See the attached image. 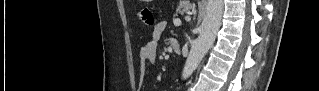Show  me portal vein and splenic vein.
<instances>
[{"instance_id":"1","label":"portal vein and splenic vein","mask_w":319,"mask_h":91,"mask_svg":"<svg viewBox=\"0 0 319 91\" xmlns=\"http://www.w3.org/2000/svg\"><path fill=\"white\" fill-rule=\"evenodd\" d=\"M174 24L179 26V25H181V21L179 19H175Z\"/></svg>"}]
</instances>
